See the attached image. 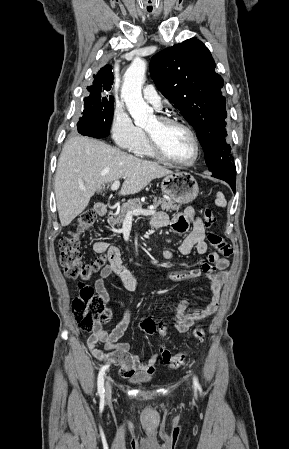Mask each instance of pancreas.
I'll return each instance as SVG.
<instances>
[{"label":"pancreas","mask_w":289,"mask_h":449,"mask_svg":"<svg viewBox=\"0 0 289 449\" xmlns=\"http://www.w3.org/2000/svg\"><path fill=\"white\" fill-rule=\"evenodd\" d=\"M153 206L155 208L160 206L162 210H166L168 212H172L174 210L178 211L180 209V205L174 204L170 201H166L164 198L160 197L154 198ZM138 208H142V203L139 198L128 200L116 213L108 218V222L112 225H120L126 218L128 211H133Z\"/></svg>","instance_id":"pancreas-1"}]
</instances>
